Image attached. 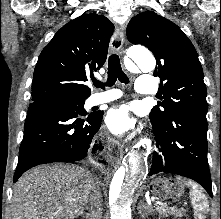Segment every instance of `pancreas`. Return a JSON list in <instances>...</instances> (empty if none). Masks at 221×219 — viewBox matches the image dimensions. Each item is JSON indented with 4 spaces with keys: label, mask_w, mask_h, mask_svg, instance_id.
Masks as SVG:
<instances>
[{
    "label": "pancreas",
    "mask_w": 221,
    "mask_h": 219,
    "mask_svg": "<svg viewBox=\"0 0 221 219\" xmlns=\"http://www.w3.org/2000/svg\"><path fill=\"white\" fill-rule=\"evenodd\" d=\"M155 210L159 213L160 217L174 216L175 218H180L184 214L183 209L167 207L166 205L157 206Z\"/></svg>",
    "instance_id": "1"
}]
</instances>
